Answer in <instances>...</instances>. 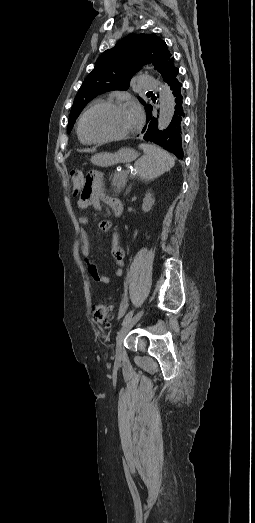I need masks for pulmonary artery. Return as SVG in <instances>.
<instances>
[{"mask_svg":"<svg viewBox=\"0 0 255 523\" xmlns=\"http://www.w3.org/2000/svg\"><path fill=\"white\" fill-rule=\"evenodd\" d=\"M139 84V88L147 92L158 88V80L156 78H151L147 73L141 75Z\"/></svg>","mask_w":255,"mask_h":523,"instance_id":"obj_1","label":"pulmonary artery"}]
</instances>
